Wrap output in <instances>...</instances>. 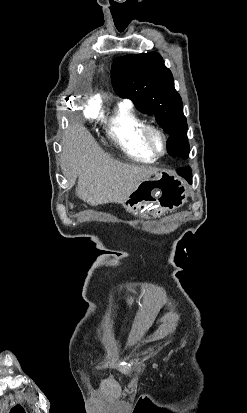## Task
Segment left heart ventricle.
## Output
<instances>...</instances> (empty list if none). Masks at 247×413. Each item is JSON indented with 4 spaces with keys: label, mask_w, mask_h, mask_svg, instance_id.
Here are the masks:
<instances>
[{
    "label": "left heart ventricle",
    "mask_w": 247,
    "mask_h": 413,
    "mask_svg": "<svg viewBox=\"0 0 247 413\" xmlns=\"http://www.w3.org/2000/svg\"><path fill=\"white\" fill-rule=\"evenodd\" d=\"M148 141L149 143L156 148L157 150H161L162 149V141L161 138L159 137L158 134L154 133V132H150L148 134Z\"/></svg>",
    "instance_id": "1"
}]
</instances>
